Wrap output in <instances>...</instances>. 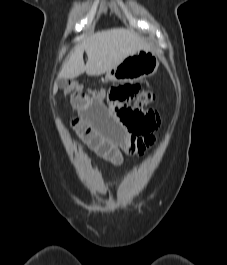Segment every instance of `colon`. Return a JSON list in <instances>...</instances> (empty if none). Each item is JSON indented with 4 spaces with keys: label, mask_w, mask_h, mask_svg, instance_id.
<instances>
[{
    "label": "colon",
    "mask_w": 227,
    "mask_h": 265,
    "mask_svg": "<svg viewBox=\"0 0 227 265\" xmlns=\"http://www.w3.org/2000/svg\"><path fill=\"white\" fill-rule=\"evenodd\" d=\"M82 91L84 99L100 97V93L87 92L78 82H71L65 89V94L77 96ZM108 100L114 114L127 129L134 135H145L158 128L160 119L158 113L147 108L156 100V94L149 90H139L134 84H119L112 86L108 91Z\"/></svg>",
    "instance_id": "1"
}]
</instances>
